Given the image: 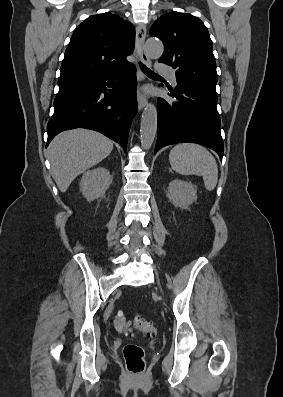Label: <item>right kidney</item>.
I'll return each mask as SVG.
<instances>
[{"label":"right kidney","mask_w":283,"mask_h":397,"mask_svg":"<svg viewBox=\"0 0 283 397\" xmlns=\"http://www.w3.org/2000/svg\"><path fill=\"white\" fill-rule=\"evenodd\" d=\"M111 183L109 170L98 167L85 172L80 182V191L88 201L103 197Z\"/></svg>","instance_id":"obj_1"}]
</instances>
